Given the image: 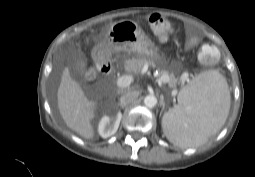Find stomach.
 Listing matches in <instances>:
<instances>
[{
	"label": "stomach",
	"instance_id": "obj_1",
	"mask_svg": "<svg viewBox=\"0 0 255 177\" xmlns=\"http://www.w3.org/2000/svg\"><path fill=\"white\" fill-rule=\"evenodd\" d=\"M103 58L112 53H128L152 60H161L157 47L132 20H121L111 25L104 41L96 46Z\"/></svg>",
	"mask_w": 255,
	"mask_h": 177
}]
</instances>
